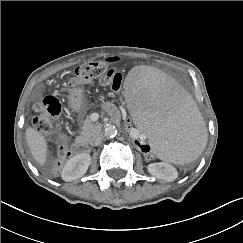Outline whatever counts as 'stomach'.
<instances>
[{
    "label": "stomach",
    "mask_w": 243,
    "mask_h": 243,
    "mask_svg": "<svg viewBox=\"0 0 243 243\" xmlns=\"http://www.w3.org/2000/svg\"><path fill=\"white\" fill-rule=\"evenodd\" d=\"M69 106L76 112L83 109V90L81 88L71 89L68 95Z\"/></svg>",
    "instance_id": "0dacf381"
}]
</instances>
